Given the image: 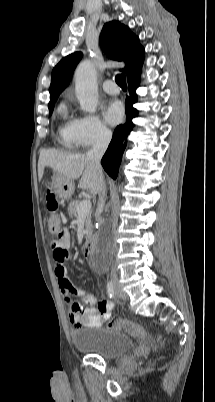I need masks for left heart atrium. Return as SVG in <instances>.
<instances>
[{"instance_id": "1", "label": "left heart atrium", "mask_w": 215, "mask_h": 402, "mask_svg": "<svg viewBox=\"0 0 215 402\" xmlns=\"http://www.w3.org/2000/svg\"><path fill=\"white\" fill-rule=\"evenodd\" d=\"M124 116V108L120 101L113 100L109 102V104L104 109V117L105 120L110 125H116L123 119Z\"/></svg>"}]
</instances>
